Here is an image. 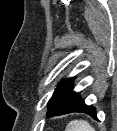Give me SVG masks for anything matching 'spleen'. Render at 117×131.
Masks as SVG:
<instances>
[{
  "mask_svg": "<svg viewBox=\"0 0 117 131\" xmlns=\"http://www.w3.org/2000/svg\"><path fill=\"white\" fill-rule=\"evenodd\" d=\"M66 131H94V128L85 120H72L68 123Z\"/></svg>",
  "mask_w": 117,
  "mask_h": 131,
  "instance_id": "obj_1",
  "label": "spleen"
}]
</instances>
